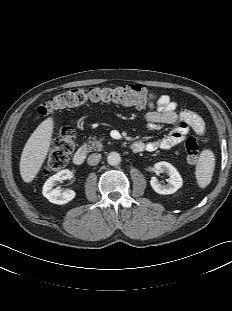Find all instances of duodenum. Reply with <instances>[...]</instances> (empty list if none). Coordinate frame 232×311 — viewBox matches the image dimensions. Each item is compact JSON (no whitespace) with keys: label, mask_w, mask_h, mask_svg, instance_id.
Segmentation results:
<instances>
[{"label":"duodenum","mask_w":232,"mask_h":311,"mask_svg":"<svg viewBox=\"0 0 232 311\" xmlns=\"http://www.w3.org/2000/svg\"><path fill=\"white\" fill-rule=\"evenodd\" d=\"M144 148H145V145L142 142H135L132 144V149L135 152H141L144 150ZM86 155H87V149L85 147L78 149L73 156V162L76 165H82L86 160Z\"/></svg>","instance_id":"1"}]
</instances>
